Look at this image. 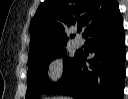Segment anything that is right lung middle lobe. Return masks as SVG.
<instances>
[{"mask_svg": "<svg viewBox=\"0 0 128 99\" xmlns=\"http://www.w3.org/2000/svg\"><path fill=\"white\" fill-rule=\"evenodd\" d=\"M78 54H75L73 58L66 57L64 59L63 76L56 84H51L47 78L48 65L55 58L66 55V49L64 47L29 58L26 99H36L39 98L42 93L51 94L56 92L70 75L78 58Z\"/></svg>", "mask_w": 128, "mask_h": 99, "instance_id": "dd1d6c3e", "label": "right lung middle lobe"}]
</instances>
